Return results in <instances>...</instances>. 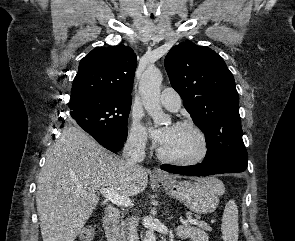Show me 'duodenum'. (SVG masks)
<instances>
[{
    "instance_id": "1",
    "label": "duodenum",
    "mask_w": 295,
    "mask_h": 241,
    "mask_svg": "<svg viewBox=\"0 0 295 241\" xmlns=\"http://www.w3.org/2000/svg\"><path fill=\"white\" fill-rule=\"evenodd\" d=\"M119 218V211L114 206H107L105 208L103 230L106 234L107 241H125V238L119 233L117 228V221Z\"/></svg>"
}]
</instances>
